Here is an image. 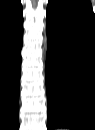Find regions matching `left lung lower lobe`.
Masks as SVG:
<instances>
[{"label": "left lung lower lobe", "mask_w": 95, "mask_h": 130, "mask_svg": "<svg viewBox=\"0 0 95 130\" xmlns=\"http://www.w3.org/2000/svg\"><path fill=\"white\" fill-rule=\"evenodd\" d=\"M48 125L95 129V20L47 13Z\"/></svg>", "instance_id": "left-lung-lower-lobe-1"}]
</instances>
